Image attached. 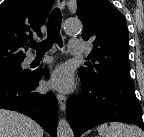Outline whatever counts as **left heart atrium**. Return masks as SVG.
I'll use <instances>...</instances> for the list:
<instances>
[{
    "mask_svg": "<svg viewBox=\"0 0 144 137\" xmlns=\"http://www.w3.org/2000/svg\"><path fill=\"white\" fill-rule=\"evenodd\" d=\"M72 73L70 69L63 65L55 69L50 78V85L58 90L66 91L71 87Z\"/></svg>",
    "mask_w": 144,
    "mask_h": 137,
    "instance_id": "obj_1",
    "label": "left heart atrium"
}]
</instances>
